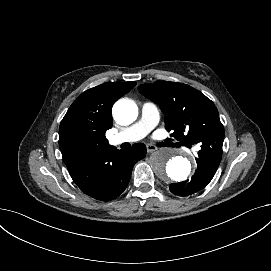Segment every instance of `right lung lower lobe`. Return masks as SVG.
I'll return each mask as SVG.
<instances>
[{"label": "right lung lower lobe", "instance_id": "obj_1", "mask_svg": "<svg viewBox=\"0 0 271 271\" xmlns=\"http://www.w3.org/2000/svg\"><path fill=\"white\" fill-rule=\"evenodd\" d=\"M145 155L146 147L141 143L120 151L109 145L69 173L86 195L107 202L126 189L133 166Z\"/></svg>", "mask_w": 271, "mask_h": 271}]
</instances>
